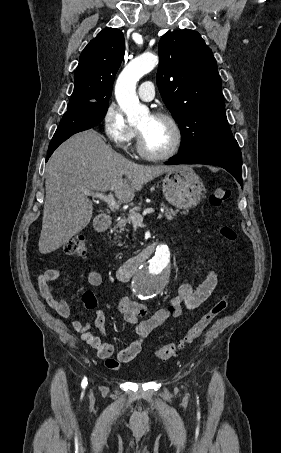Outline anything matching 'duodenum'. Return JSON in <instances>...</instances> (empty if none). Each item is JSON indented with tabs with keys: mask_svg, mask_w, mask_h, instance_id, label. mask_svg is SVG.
<instances>
[{
	"mask_svg": "<svg viewBox=\"0 0 281 453\" xmlns=\"http://www.w3.org/2000/svg\"><path fill=\"white\" fill-rule=\"evenodd\" d=\"M111 219L109 217H102L97 220L95 229L99 233H103L109 229ZM157 244H152L142 250L140 253L123 263L117 270L116 275L118 280L125 282L128 281L138 270V268L148 260L154 253Z\"/></svg>",
	"mask_w": 281,
	"mask_h": 453,
	"instance_id": "410a0bca",
	"label": "duodenum"
}]
</instances>
